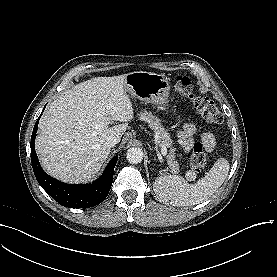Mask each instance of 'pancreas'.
<instances>
[{
  "mask_svg": "<svg viewBox=\"0 0 277 277\" xmlns=\"http://www.w3.org/2000/svg\"><path fill=\"white\" fill-rule=\"evenodd\" d=\"M139 116L141 120L148 123L149 127L157 135V139L160 145H164L166 148L169 149V153L166 156L167 164L170 167L172 173H178L179 163L176 160V149L173 147V141L170 138L167 130H165L162 126L160 119L157 116H154L152 113L147 112L146 110L141 111Z\"/></svg>",
  "mask_w": 277,
  "mask_h": 277,
  "instance_id": "pancreas-1",
  "label": "pancreas"
}]
</instances>
